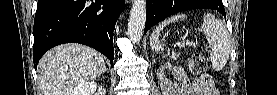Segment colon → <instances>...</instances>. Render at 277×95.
Masks as SVG:
<instances>
[{"mask_svg":"<svg viewBox=\"0 0 277 95\" xmlns=\"http://www.w3.org/2000/svg\"><path fill=\"white\" fill-rule=\"evenodd\" d=\"M209 67L208 58L203 53L195 50L190 58L189 71L195 74H204Z\"/></svg>","mask_w":277,"mask_h":95,"instance_id":"colon-1","label":"colon"}]
</instances>
